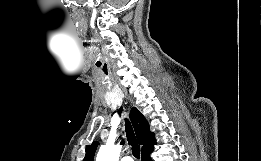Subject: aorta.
Returning a JSON list of instances; mask_svg holds the SVG:
<instances>
[{
    "mask_svg": "<svg viewBox=\"0 0 261 161\" xmlns=\"http://www.w3.org/2000/svg\"><path fill=\"white\" fill-rule=\"evenodd\" d=\"M120 152V145L107 143L100 147L96 161H118Z\"/></svg>",
    "mask_w": 261,
    "mask_h": 161,
    "instance_id": "aorta-1",
    "label": "aorta"
}]
</instances>
